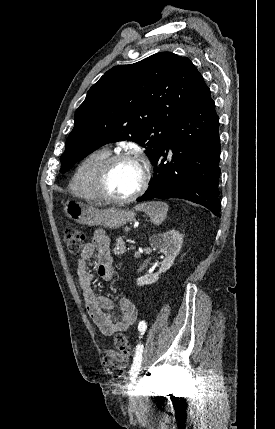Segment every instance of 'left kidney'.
<instances>
[{"instance_id": "1", "label": "left kidney", "mask_w": 275, "mask_h": 429, "mask_svg": "<svg viewBox=\"0 0 275 429\" xmlns=\"http://www.w3.org/2000/svg\"><path fill=\"white\" fill-rule=\"evenodd\" d=\"M150 245L154 248L159 249L164 254L165 258L161 263V266L156 273H150L137 278V285L144 286L155 283L162 273L169 270L183 243L182 235L176 230H169L163 234H154L150 239Z\"/></svg>"}]
</instances>
